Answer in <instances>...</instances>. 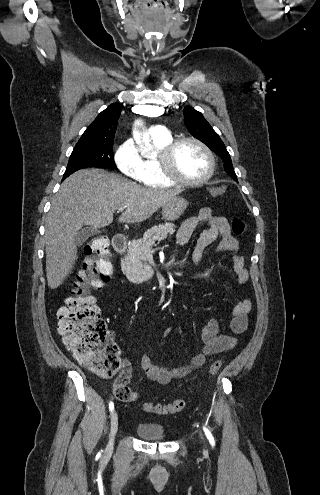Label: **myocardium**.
Here are the masks:
<instances>
[{"mask_svg": "<svg viewBox=\"0 0 320 495\" xmlns=\"http://www.w3.org/2000/svg\"><path fill=\"white\" fill-rule=\"evenodd\" d=\"M194 143L196 144L206 155L209 161V169L205 176L198 179H185L181 177L175 168L174 157L177 149L184 143ZM159 164L162 174L171 182L182 185V186H198L208 182L214 175L216 168V161L213 152L210 148L204 144L201 140L195 137H181L172 140L168 145H166L159 154Z\"/></svg>", "mask_w": 320, "mask_h": 495, "instance_id": "f54148a6", "label": "myocardium"}]
</instances>
